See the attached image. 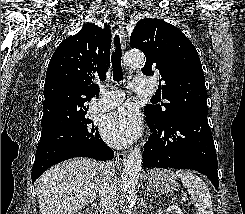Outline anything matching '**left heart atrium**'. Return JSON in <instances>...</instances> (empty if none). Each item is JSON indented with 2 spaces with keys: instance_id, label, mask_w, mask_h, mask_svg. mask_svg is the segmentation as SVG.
Wrapping results in <instances>:
<instances>
[{
  "instance_id": "39dd6f15",
  "label": "left heart atrium",
  "mask_w": 245,
  "mask_h": 214,
  "mask_svg": "<svg viewBox=\"0 0 245 214\" xmlns=\"http://www.w3.org/2000/svg\"><path fill=\"white\" fill-rule=\"evenodd\" d=\"M100 129L103 138L114 147L127 146L141 131L138 115L130 106H122L108 114Z\"/></svg>"
}]
</instances>
